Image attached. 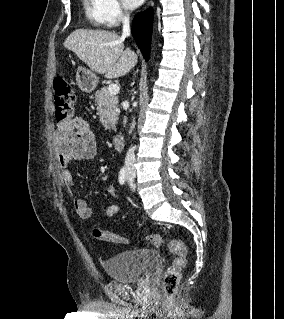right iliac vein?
I'll list each match as a JSON object with an SVG mask.
<instances>
[{
  "mask_svg": "<svg viewBox=\"0 0 284 319\" xmlns=\"http://www.w3.org/2000/svg\"><path fill=\"white\" fill-rule=\"evenodd\" d=\"M128 176H129V178L132 180V176H131V174H130V173L128 174Z\"/></svg>",
  "mask_w": 284,
  "mask_h": 319,
  "instance_id": "63e3f726",
  "label": "right iliac vein"
}]
</instances>
